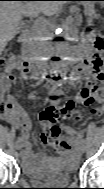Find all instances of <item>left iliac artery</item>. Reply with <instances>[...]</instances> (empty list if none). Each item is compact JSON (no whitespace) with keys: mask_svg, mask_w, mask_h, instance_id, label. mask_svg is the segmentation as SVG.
Listing matches in <instances>:
<instances>
[{"mask_svg":"<svg viewBox=\"0 0 104 189\" xmlns=\"http://www.w3.org/2000/svg\"><path fill=\"white\" fill-rule=\"evenodd\" d=\"M81 144L84 146L85 140L81 138Z\"/></svg>","mask_w":104,"mask_h":189,"instance_id":"44dca946","label":"left iliac artery"}]
</instances>
